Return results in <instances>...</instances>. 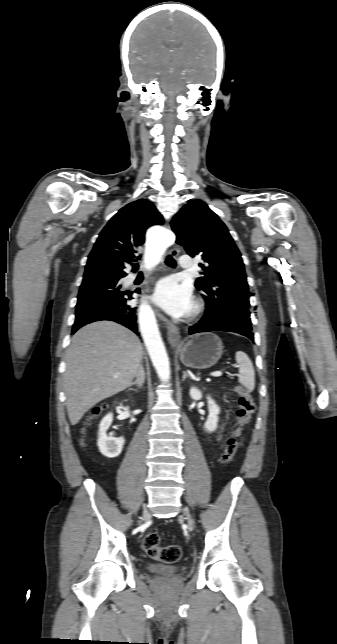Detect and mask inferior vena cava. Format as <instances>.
<instances>
[{
    "label": "inferior vena cava",
    "instance_id": "obj_1",
    "mask_svg": "<svg viewBox=\"0 0 337 644\" xmlns=\"http://www.w3.org/2000/svg\"><path fill=\"white\" fill-rule=\"evenodd\" d=\"M141 373H144V371H143V368H142V366H139V370H138V376H139V375H140Z\"/></svg>",
    "mask_w": 337,
    "mask_h": 644
}]
</instances>
